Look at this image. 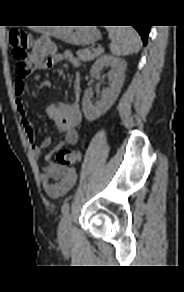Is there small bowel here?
Masks as SVG:
<instances>
[{"label":"small bowel","instance_id":"c3829d8e","mask_svg":"<svg viewBox=\"0 0 184 292\" xmlns=\"http://www.w3.org/2000/svg\"><path fill=\"white\" fill-rule=\"evenodd\" d=\"M67 62L74 67L79 66L78 59L74 54L67 50L62 53L53 55L45 61H35L30 71L39 69H51L55 65ZM27 74V73H26ZM26 74H17L15 79V93L17 96L16 106L20 115L22 126L32 145L33 154L36 157L41 155L43 149L51 145L49 138L43 139L39 144H35V129L27 115L26 105L22 99L24 92ZM73 100L69 103H56L47 106L46 113L48 117L54 121L57 129L63 133V139L58 146L74 145L78 142L79 134L77 127L82 121V114L79 107L81 95V76L77 74L72 85ZM78 174L74 166H63L46 160L44 172L41 176V182L45 192L53 197L60 198L64 196L76 183Z\"/></svg>","mask_w":184,"mask_h":292}]
</instances>
